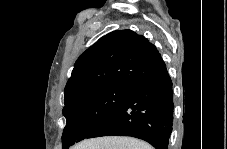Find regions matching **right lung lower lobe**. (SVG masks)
Listing matches in <instances>:
<instances>
[{
	"label": "right lung lower lobe",
	"instance_id": "1",
	"mask_svg": "<svg viewBox=\"0 0 227 149\" xmlns=\"http://www.w3.org/2000/svg\"><path fill=\"white\" fill-rule=\"evenodd\" d=\"M173 110L172 80L164 67L133 86L126 101L87 138L131 136L168 149Z\"/></svg>",
	"mask_w": 227,
	"mask_h": 149
}]
</instances>
